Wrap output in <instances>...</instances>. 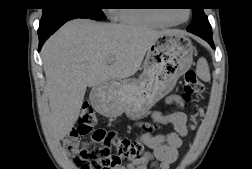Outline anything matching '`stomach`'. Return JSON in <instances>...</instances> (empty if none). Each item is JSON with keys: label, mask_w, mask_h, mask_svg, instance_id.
I'll list each match as a JSON object with an SVG mask.
<instances>
[{"label": "stomach", "mask_w": 252, "mask_h": 169, "mask_svg": "<svg viewBox=\"0 0 252 169\" xmlns=\"http://www.w3.org/2000/svg\"><path fill=\"white\" fill-rule=\"evenodd\" d=\"M194 46L180 32L161 35L148 49L138 79L111 81L94 89L92 104L109 117L126 113L138 118L172 91L192 65Z\"/></svg>", "instance_id": "stomach-1"}]
</instances>
